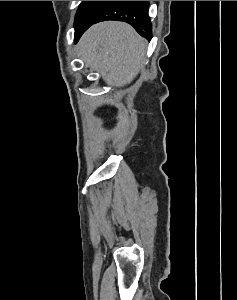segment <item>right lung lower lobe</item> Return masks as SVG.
<instances>
[{
  "instance_id": "98d812e1",
  "label": "right lung lower lobe",
  "mask_w": 237,
  "mask_h": 300,
  "mask_svg": "<svg viewBox=\"0 0 237 300\" xmlns=\"http://www.w3.org/2000/svg\"><path fill=\"white\" fill-rule=\"evenodd\" d=\"M148 8L149 1H115L93 24L106 20L124 21L132 25L141 36L150 40L152 31ZM90 26L76 32L75 40L78 41Z\"/></svg>"
}]
</instances>
